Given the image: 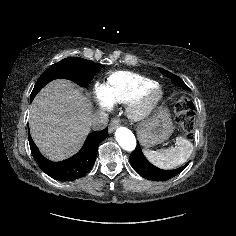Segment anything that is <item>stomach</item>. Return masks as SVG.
<instances>
[{
  "mask_svg": "<svg viewBox=\"0 0 236 236\" xmlns=\"http://www.w3.org/2000/svg\"><path fill=\"white\" fill-rule=\"evenodd\" d=\"M173 129L168 109L160 107L157 113L141 126L140 142L146 148L160 144L172 135Z\"/></svg>",
  "mask_w": 236,
  "mask_h": 236,
  "instance_id": "stomach-1",
  "label": "stomach"
}]
</instances>
